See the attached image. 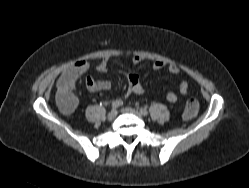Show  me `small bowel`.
<instances>
[{"instance_id":"obj_1","label":"small bowel","mask_w":249,"mask_h":188,"mask_svg":"<svg viewBox=\"0 0 249 188\" xmlns=\"http://www.w3.org/2000/svg\"><path fill=\"white\" fill-rule=\"evenodd\" d=\"M142 61L143 58L139 55L131 56V62L134 65H138ZM165 67L171 74L177 75L180 73L179 67L175 64H166L164 61L161 60H155L152 63V68L154 70H161ZM88 68L89 63L85 60H79L75 62L73 65L68 67L59 78L57 82V89H65L72 93L77 81L88 70ZM108 68L109 58L106 57L97 65L96 70L99 73H106L108 71ZM121 73L126 77L128 82L126 97L130 95H142L144 93V89L140 84L139 76L136 73L126 71H121ZM86 87L92 92L106 91L111 88V82L108 80H95L91 77H88L86 79ZM179 91L183 95L189 92V84L185 80L180 82ZM167 100L170 103H176L178 101V96L174 91H170L167 94Z\"/></svg>"}]
</instances>
